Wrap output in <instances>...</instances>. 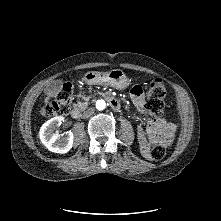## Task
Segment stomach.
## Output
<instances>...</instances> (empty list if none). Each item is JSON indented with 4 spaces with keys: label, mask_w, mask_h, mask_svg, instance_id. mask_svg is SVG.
Here are the masks:
<instances>
[{
    "label": "stomach",
    "mask_w": 221,
    "mask_h": 221,
    "mask_svg": "<svg viewBox=\"0 0 221 221\" xmlns=\"http://www.w3.org/2000/svg\"><path fill=\"white\" fill-rule=\"evenodd\" d=\"M83 81L89 85H109L116 89H126L130 81L120 69H113L108 72L90 71L83 76Z\"/></svg>",
    "instance_id": "obj_1"
}]
</instances>
